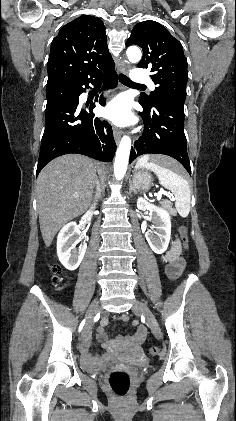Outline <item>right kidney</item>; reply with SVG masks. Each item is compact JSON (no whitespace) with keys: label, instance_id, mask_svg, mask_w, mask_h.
Masks as SVG:
<instances>
[{"label":"right kidney","instance_id":"obj_1","mask_svg":"<svg viewBox=\"0 0 236 421\" xmlns=\"http://www.w3.org/2000/svg\"><path fill=\"white\" fill-rule=\"evenodd\" d=\"M82 241L81 231L76 223H68L61 229L57 237V255L60 263L68 271H76L86 253V243H81L79 249L76 245Z\"/></svg>","mask_w":236,"mask_h":421}]
</instances>
